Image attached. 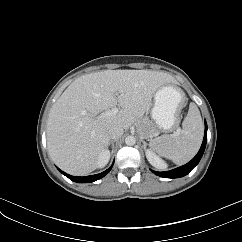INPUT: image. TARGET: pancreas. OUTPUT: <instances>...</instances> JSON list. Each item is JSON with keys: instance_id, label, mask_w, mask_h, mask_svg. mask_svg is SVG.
Masks as SVG:
<instances>
[{"instance_id": "cf45deb5", "label": "pancreas", "mask_w": 242, "mask_h": 242, "mask_svg": "<svg viewBox=\"0 0 242 242\" xmlns=\"http://www.w3.org/2000/svg\"><path fill=\"white\" fill-rule=\"evenodd\" d=\"M137 130L142 137L155 136L157 131L155 125L148 119H143L137 123Z\"/></svg>"}]
</instances>
